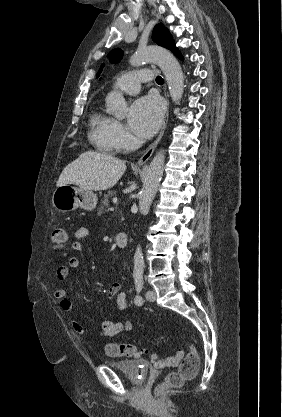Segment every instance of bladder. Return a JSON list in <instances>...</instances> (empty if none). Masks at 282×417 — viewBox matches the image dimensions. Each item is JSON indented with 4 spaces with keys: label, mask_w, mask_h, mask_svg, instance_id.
Segmentation results:
<instances>
[{
    "label": "bladder",
    "mask_w": 282,
    "mask_h": 417,
    "mask_svg": "<svg viewBox=\"0 0 282 417\" xmlns=\"http://www.w3.org/2000/svg\"><path fill=\"white\" fill-rule=\"evenodd\" d=\"M107 363L123 373L133 384H141L148 377L151 368L149 361L142 358L107 361Z\"/></svg>",
    "instance_id": "31cf9c89"
}]
</instances>
